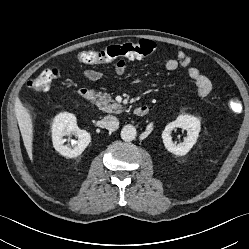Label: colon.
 <instances>
[{"label":"colon","mask_w":249,"mask_h":249,"mask_svg":"<svg viewBox=\"0 0 249 249\" xmlns=\"http://www.w3.org/2000/svg\"><path fill=\"white\" fill-rule=\"evenodd\" d=\"M156 50V44L147 39L137 42H127L118 45H111L101 51H81L77 55L80 63L84 64H105L116 59H140L151 55ZM57 77V71L53 68L46 69L28 82L31 89L37 92H46L50 89ZM227 112L236 115L242 110L240 100L233 96L227 101Z\"/></svg>","instance_id":"obj_1"}]
</instances>
